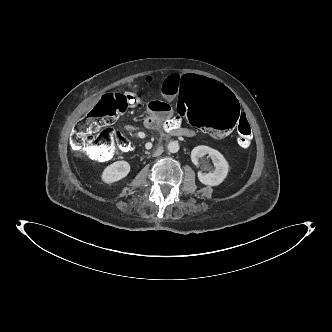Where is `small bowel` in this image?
<instances>
[{"instance_id": "obj_1", "label": "small bowel", "mask_w": 332, "mask_h": 332, "mask_svg": "<svg viewBox=\"0 0 332 332\" xmlns=\"http://www.w3.org/2000/svg\"><path fill=\"white\" fill-rule=\"evenodd\" d=\"M179 80V74L171 73L160 81L161 89L166 97L161 100H154L148 103L146 117L144 121L146 128L159 129L163 125L176 127L179 126L177 119H180L181 117L175 118L172 115L171 105L169 101L171 96H175V88ZM133 97L134 98L132 99L131 104L135 105L139 102V98L136 95H133ZM182 129L185 131L186 136L191 137L195 135L194 131L189 128L183 127ZM140 134L141 133H138L137 136H140ZM228 135H230V133ZM228 135L223 137H211L215 139H222L227 137Z\"/></svg>"}]
</instances>
